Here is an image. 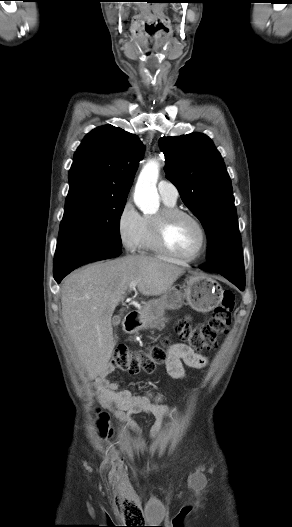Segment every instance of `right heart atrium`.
Returning <instances> with one entry per match:
<instances>
[{"label": "right heart atrium", "mask_w": 292, "mask_h": 527, "mask_svg": "<svg viewBox=\"0 0 292 527\" xmlns=\"http://www.w3.org/2000/svg\"><path fill=\"white\" fill-rule=\"evenodd\" d=\"M141 226L142 216L132 201L127 199L121 206L116 220L118 238L127 251L137 249Z\"/></svg>", "instance_id": "obj_1"}]
</instances>
